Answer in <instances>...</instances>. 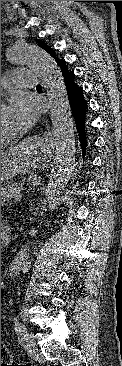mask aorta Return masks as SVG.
Returning a JSON list of instances; mask_svg holds the SVG:
<instances>
[{"label":"aorta","mask_w":122,"mask_h":366,"mask_svg":"<svg viewBox=\"0 0 122 366\" xmlns=\"http://www.w3.org/2000/svg\"><path fill=\"white\" fill-rule=\"evenodd\" d=\"M10 64L25 66L42 80L50 102V119L55 142V156L45 189V198L40 205L43 216L48 205L64 190L75 168V130L65 83L54 58L39 46L16 42L7 49ZM28 245L23 246L16 261L27 258ZM21 261V262H20Z\"/></svg>","instance_id":"1"}]
</instances>
